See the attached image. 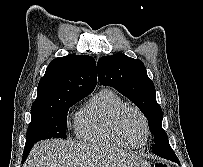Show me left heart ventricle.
<instances>
[{
	"label": "left heart ventricle",
	"instance_id": "left-heart-ventricle-1",
	"mask_svg": "<svg viewBox=\"0 0 203 167\" xmlns=\"http://www.w3.org/2000/svg\"><path fill=\"white\" fill-rule=\"evenodd\" d=\"M120 128L125 137L134 144H140L145 138V129L141 117L134 111L123 115Z\"/></svg>",
	"mask_w": 203,
	"mask_h": 167
}]
</instances>
